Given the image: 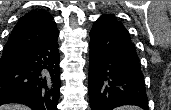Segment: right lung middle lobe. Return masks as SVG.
Wrapping results in <instances>:
<instances>
[{
    "instance_id": "obj_1",
    "label": "right lung middle lobe",
    "mask_w": 171,
    "mask_h": 110,
    "mask_svg": "<svg viewBox=\"0 0 171 110\" xmlns=\"http://www.w3.org/2000/svg\"><path fill=\"white\" fill-rule=\"evenodd\" d=\"M21 60V55L2 56L0 59V69L8 68Z\"/></svg>"
}]
</instances>
